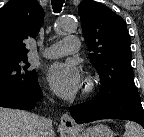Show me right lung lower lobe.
Wrapping results in <instances>:
<instances>
[{
    "label": "right lung lower lobe",
    "instance_id": "1",
    "mask_svg": "<svg viewBox=\"0 0 144 137\" xmlns=\"http://www.w3.org/2000/svg\"><path fill=\"white\" fill-rule=\"evenodd\" d=\"M42 98L41 88L33 94L24 93L14 89L0 90V107L30 110L35 107V103Z\"/></svg>",
    "mask_w": 144,
    "mask_h": 137
}]
</instances>
